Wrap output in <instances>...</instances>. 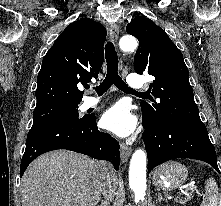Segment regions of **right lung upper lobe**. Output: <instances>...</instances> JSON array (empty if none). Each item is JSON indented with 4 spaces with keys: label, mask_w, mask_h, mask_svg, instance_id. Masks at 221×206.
Segmentation results:
<instances>
[{
    "label": "right lung upper lobe",
    "mask_w": 221,
    "mask_h": 206,
    "mask_svg": "<svg viewBox=\"0 0 221 206\" xmlns=\"http://www.w3.org/2000/svg\"><path fill=\"white\" fill-rule=\"evenodd\" d=\"M105 38V27L91 19L69 24L42 61L36 107L79 104L83 93L78 86L97 78L103 64Z\"/></svg>",
    "instance_id": "cb5924a9"
}]
</instances>
